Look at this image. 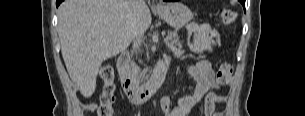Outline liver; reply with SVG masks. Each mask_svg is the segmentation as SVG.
<instances>
[{"instance_id": "1", "label": "liver", "mask_w": 305, "mask_h": 116, "mask_svg": "<svg viewBox=\"0 0 305 116\" xmlns=\"http://www.w3.org/2000/svg\"><path fill=\"white\" fill-rule=\"evenodd\" d=\"M151 21L145 0L137 15L131 0H65L59 6L62 56L70 78L85 98L95 91L102 63L126 50Z\"/></svg>"}]
</instances>
